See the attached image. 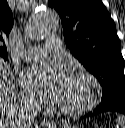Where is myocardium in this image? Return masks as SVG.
<instances>
[{"mask_svg":"<svg viewBox=\"0 0 125 128\" xmlns=\"http://www.w3.org/2000/svg\"><path fill=\"white\" fill-rule=\"evenodd\" d=\"M72 78L85 82L90 92L86 100L76 106H66L63 104L60 106L61 112L68 116L81 115L93 109L99 103L102 93L99 81L92 74L86 71H78L73 74Z\"/></svg>","mask_w":125,"mask_h":128,"instance_id":"obj_1","label":"myocardium"}]
</instances>
